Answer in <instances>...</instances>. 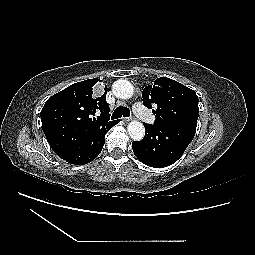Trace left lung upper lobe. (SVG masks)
Listing matches in <instances>:
<instances>
[{
	"instance_id": "obj_1",
	"label": "left lung upper lobe",
	"mask_w": 255,
	"mask_h": 255,
	"mask_svg": "<svg viewBox=\"0 0 255 255\" xmlns=\"http://www.w3.org/2000/svg\"><path fill=\"white\" fill-rule=\"evenodd\" d=\"M143 104L155 107V125L196 131L199 116L196 93L181 83L160 77L142 92Z\"/></svg>"
}]
</instances>
